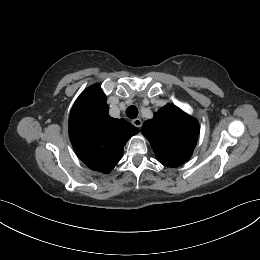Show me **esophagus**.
<instances>
[{"instance_id":"1","label":"esophagus","mask_w":260,"mask_h":260,"mask_svg":"<svg viewBox=\"0 0 260 260\" xmlns=\"http://www.w3.org/2000/svg\"><path fill=\"white\" fill-rule=\"evenodd\" d=\"M131 123L137 128H140L142 126V120L140 118L133 119Z\"/></svg>"}]
</instances>
